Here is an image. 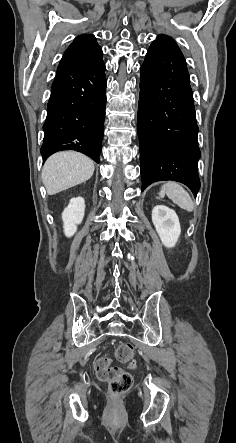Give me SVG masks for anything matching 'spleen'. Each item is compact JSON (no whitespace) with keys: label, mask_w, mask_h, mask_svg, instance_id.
<instances>
[{"label":"spleen","mask_w":236,"mask_h":443,"mask_svg":"<svg viewBox=\"0 0 236 443\" xmlns=\"http://www.w3.org/2000/svg\"><path fill=\"white\" fill-rule=\"evenodd\" d=\"M165 195L168 196L175 204L180 208L192 212L194 210V203L189 195V193L176 182L165 183L159 192V196L163 198Z\"/></svg>","instance_id":"obj_1"}]
</instances>
